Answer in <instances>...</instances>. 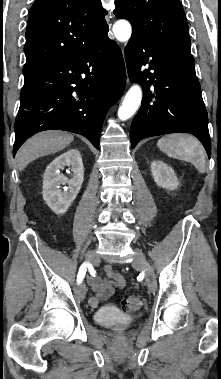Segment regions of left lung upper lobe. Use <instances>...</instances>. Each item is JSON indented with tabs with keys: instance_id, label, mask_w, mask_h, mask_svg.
Listing matches in <instances>:
<instances>
[{
	"instance_id": "obj_1",
	"label": "left lung upper lobe",
	"mask_w": 221,
	"mask_h": 379,
	"mask_svg": "<svg viewBox=\"0 0 221 379\" xmlns=\"http://www.w3.org/2000/svg\"><path fill=\"white\" fill-rule=\"evenodd\" d=\"M114 14L136 33L169 51L192 57L188 24L179 0H115Z\"/></svg>"
}]
</instances>
